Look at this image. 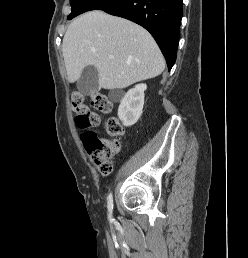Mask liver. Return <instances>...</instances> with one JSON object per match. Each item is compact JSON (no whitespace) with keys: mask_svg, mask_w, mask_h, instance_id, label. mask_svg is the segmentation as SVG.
<instances>
[{"mask_svg":"<svg viewBox=\"0 0 248 258\" xmlns=\"http://www.w3.org/2000/svg\"><path fill=\"white\" fill-rule=\"evenodd\" d=\"M62 53L71 83L92 65L104 89L126 88L160 75L165 68L164 57L148 31L102 11L87 12L69 25Z\"/></svg>","mask_w":248,"mask_h":258,"instance_id":"obj_1","label":"liver"}]
</instances>
